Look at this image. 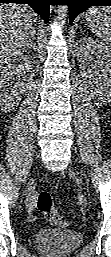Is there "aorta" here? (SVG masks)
Here are the masks:
<instances>
[{
    "mask_svg": "<svg viewBox=\"0 0 111 257\" xmlns=\"http://www.w3.org/2000/svg\"><path fill=\"white\" fill-rule=\"evenodd\" d=\"M66 12H67V7L65 5H62V6L59 7V17L61 19H65Z\"/></svg>",
    "mask_w": 111,
    "mask_h": 257,
    "instance_id": "aorta-1",
    "label": "aorta"
}]
</instances>
